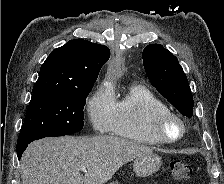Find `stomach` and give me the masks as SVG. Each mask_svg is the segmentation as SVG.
I'll return each instance as SVG.
<instances>
[{
	"label": "stomach",
	"instance_id": "stomach-1",
	"mask_svg": "<svg viewBox=\"0 0 224 184\" xmlns=\"http://www.w3.org/2000/svg\"><path fill=\"white\" fill-rule=\"evenodd\" d=\"M161 166V158L154 154H148L136 158L133 164L134 172L139 177H147L154 174ZM109 184H119L118 181H113Z\"/></svg>",
	"mask_w": 224,
	"mask_h": 184
}]
</instances>
